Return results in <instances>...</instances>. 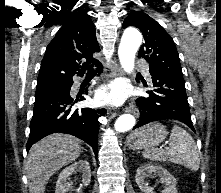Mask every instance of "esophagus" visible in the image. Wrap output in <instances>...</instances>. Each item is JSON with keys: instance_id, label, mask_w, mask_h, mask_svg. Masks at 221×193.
Segmentation results:
<instances>
[{"instance_id": "34e87169", "label": "esophagus", "mask_w": 221, "mask_h": 193, "mask_svg": "<svg viewBox=\"0 0 221 193\" xmlns=\"http://www.w3.org/2000/svg\"><path fill=\"white\" fill-rule=\"evenodd\" d=\"M122 75H123L122 69L117 63H115L114 66L111 68V77L122 76ZM124 110L128 113L134 114L136 117H138L140 114L139 110L133 104H129L124 108Z\"/></svg>"}]
</instances>
